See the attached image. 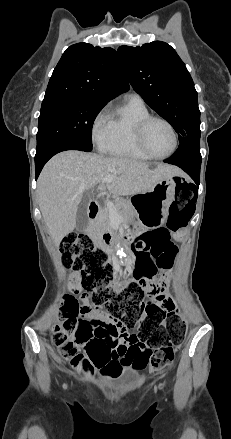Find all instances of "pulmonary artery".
Segmentation results:
<instances>
[{"instance_id": "obj_1", "label": "pulmonary artery", "mask_w": 231, "mask_h": 439, "mask_svg": "<svg viewBox=\"0 0 231 439\" xmlns=\"http://www.w3.org/2000/svg\"><path fill=\"white\" fill-rule=\"evenodd\" d=\"M129 98L142 101V98L138 94H131L129 95Z\"/></svg>"}]
</instances>
